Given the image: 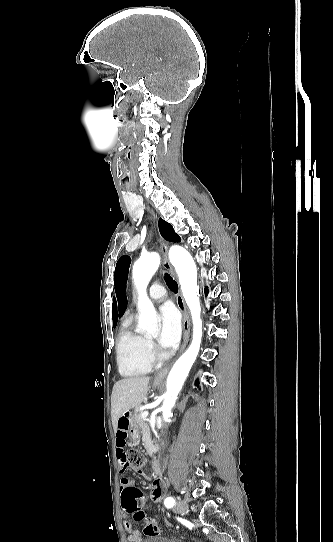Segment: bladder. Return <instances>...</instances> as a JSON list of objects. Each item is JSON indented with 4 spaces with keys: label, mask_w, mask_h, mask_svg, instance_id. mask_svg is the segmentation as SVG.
I'll return each instance as SVG.
<instances>
[{
    "label": "bladder",
    "mask_w": 333,
    "mask_h": 542,
    "mask_svg": "<svg viewBox=\"0 0 333 542\" xmlns=\"http://www.w3.org/2000/svg\"><path fill=\"white\" fill-rule=\"evenodd\" d=\"M142 542H183L166 536H146Z\"/></svg>",
    "instance_id": "1"
}]
</instances>
